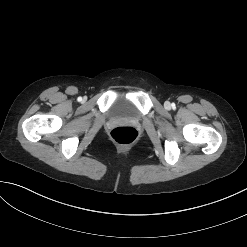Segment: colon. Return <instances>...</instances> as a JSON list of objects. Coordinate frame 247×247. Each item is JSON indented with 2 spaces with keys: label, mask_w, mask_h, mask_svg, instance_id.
<instances>
[{
  "label": "colon",
  "mask_w": 247,
  "mask_h": 247,
  "mask_svg": "<svg viewBox=\"0 0 247 247\" xmlns=\"http://www.w3.org/2000/svg\"><path fill=\"white\" fill-rule=\"evenodd\" d=\"M111 139L118 144H131L138 138V131L130 126H120L110 132Z\"/></svg>",
  "instance_id": "5ec220e1"
}]
</instances>
